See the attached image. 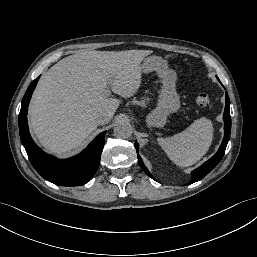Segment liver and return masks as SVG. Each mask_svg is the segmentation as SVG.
Wrapping results in <instances>:
<instances>
[{
    "label": "liver",
    "mask_w": 257,
    "mask_h": 257,
    "mask_svg": "<svg viewBox=\"0 0 257 257\" xmlns=\"http://www.w3.org/2000/svg\"><path fill=\"white\" fill-rule=\"evenodd\" d=\"M150 50L86 51L63 58L43 74L29 106L30 128L50 152L63 155L97 128L96 117L116 112L141 86V62Z\"/></svg>",
    "instance_id": "liver-1"
}]
</instances>
